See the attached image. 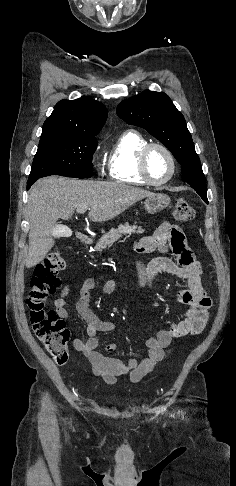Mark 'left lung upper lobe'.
Masks as SVG:
<instances>
[{
  "label": "left lung upper lobe",
  "instance_id": "1",
  "mask_svg": "<svg viewBox=\"0 0 236 486\" xmlns=\"http://www.w3.org/2000/svg\"><path fill=\"white\" fill-rule=\"evenodd\" d=\"M116 112L127 123L145 128L160 140L182 165V180L208 203L205 177L191 134L168 95L146 90L122 101Z\"/></svg>",
  "mask_w": 236,
  "mask_h": 486
}]
</instances>
